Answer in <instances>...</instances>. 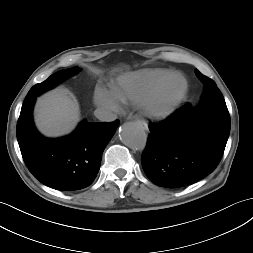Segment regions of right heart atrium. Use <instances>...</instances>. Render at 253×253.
Instances as JSON below:
<instances>
[{"label":"right heart atrium","mask_w":253,"mask_h":253,"mask_svg":"<svg viewBox=\"0 0 253 253\" xmlns=\"http://www.w3.org/2000/svg\"><path fill=\"white\" fill-rule=\"evenodd\" d=\"M94 102L97 106L111 111H117L119 105L112 93L105 88L98 87L94 93Z\"/></svg>","instance_id":"1"}]
</instances>
